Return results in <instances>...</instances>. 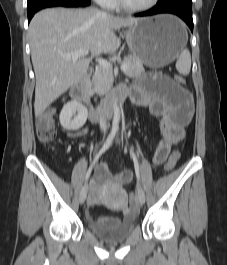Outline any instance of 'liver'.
<instances>
[{"label":"liver","instance_id":"obj_1","mask_svg":"<svg viewBox=\"0 0 227 265\" xmlns=\"http://www.w3.org/2000/svg\"><path fill=\"white\" fill-rule=\"evenodd\" d=\"M138 18L115 17L89 9H46L29 25L31 59L36 76L35 116L38 117L87 73L91 58L114 53L120 46L115 30L132 27ZM80 49L91 57L67 60L63 54Z\"/></svg>","mask_w":227,"mask_h":265}]
</instances>
